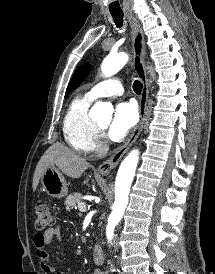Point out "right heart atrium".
Returning a JSON list of instances; mask_svg holds the SVG:
<instances>
[{
    "instance_id": "right-heart-atrium-1",
    "label": "right heart atrium",
    "mask_w": 215,
    "mask_h": 274,
    "mask_svg": "<svg viewBox=\"0 0 215 274\" xmlns=\"http://www.w3.org/2000/svg\"><path fill=\"white\" fill-rule=\"evenodd\" d=\"M104 148H105L104 135L101 132H97L93 142V150L100 152L104 150Z\"/></svg>"
}]
</instances>
